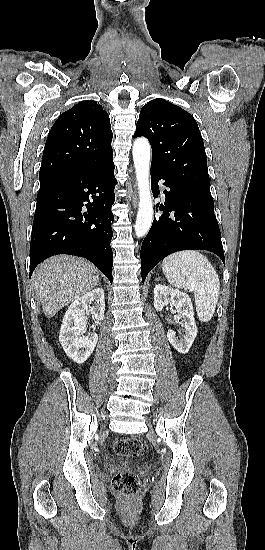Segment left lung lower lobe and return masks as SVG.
I'll use <instances>...</instances> for the list:
<instances>
[{
	"mask_svg": "<svg viewBox=\"0 0 265 550\" xmlns=\"http://www.w3.org/2000/svg\"><path fill=\"white\" fill-rule=\"evenodd\" d=\"M164 179L166 197L162 214L156 217L141 247L142 282L148 272L167 255L189 249L217 254L225 264L221 233L214 214V202L192 191L178 188L151 167V187L156 197L158 182ZM170 212L172 214L170 215Z\"/></svg>",
	"mask_w": 265,
	"mask_h": 550,
	"instance_id": "left-lung-lower-lobe-1",
	"label": "left lung lower lobe"
}]
</instances>
